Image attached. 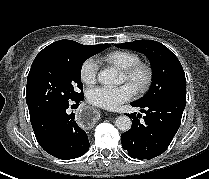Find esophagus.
I'll use <instances>...</instances> for the list:
<instances>
[{"label":"esophagus","mask_w":209,"mask_h":179,"mask_svg":"<svg viewBox=\"0 0 209 179\" xmlns=\"http://www.w3.org/2000/svg\"><path fill=\"white\" fill-rule=\"evenodd\" d=\"M75 119L80 127L93 128L98 123V114L92 106H81L76 111Z\"/></svg>","instance_id":"obj_1"}]
</instances>
